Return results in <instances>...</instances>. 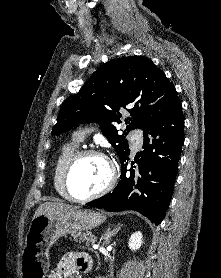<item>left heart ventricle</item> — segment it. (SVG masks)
<instances>
[{"mask_svg":"<svg viewBox=\"0 0 221 278\" xmlns=\"http://www.w3.org/2000/svg\"><path fill=\"white\" fill-rule=\"evenodd\" d=\"M109 178L106 162L97 156H87L79 160L69 176L73 195L84 197L100 190Z\"/></svg>","mask_w":221,"mask_h":278,"instance_id":"left-heart-ventricle-1","label":"left heart ventricle"}]
</instances>
